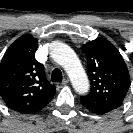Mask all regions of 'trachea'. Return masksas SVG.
I'll return each instance as SVG.
<instances>
[{"label": "trachea", "instance_id": "obj_1", "mask_svg": "<svg viewBox=\"0 0 133 133\" xmlns=\"http://www.w3.org/2000/svg\"><path fill=\"white\" fill-rule=\"evenodd\" d=\"M52 82H61L62 81V72L60 69H54L51 75Z\"/></svg>", "mask_w": 133, "mask_h": 133}]
</instances>
